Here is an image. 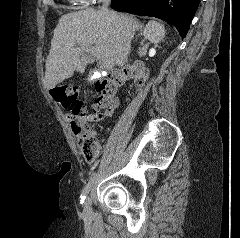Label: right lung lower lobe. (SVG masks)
<instances>
[{
  "label": "right lung lower lobe",
  "mask_w": 240,
  "mask_h": 238,
  "mask_svg": "<svg viewBox=\"0 0 240 238\" xmlns=\"http://www.w3.org/2000/svg\"><path fill=\"white\" fill-rule=\"evenodd\" d=\"M116 11L141 16H154L173 24L184 38L200 0H112Z\"/></svg>",
  "instance_id": "obj_1"
}]
</instances>
